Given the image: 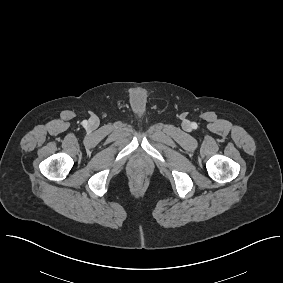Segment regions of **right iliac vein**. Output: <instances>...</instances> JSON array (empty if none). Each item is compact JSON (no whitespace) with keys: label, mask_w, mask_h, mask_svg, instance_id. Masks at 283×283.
I'll return each mask as SVG.
<instances>
[{"label":"right iliac vein","mask_w":283,"mask_h":283,"mask_svg":"<svg viewBox=\"0 0 283 283\" xmlns=\"http://www.w3.org/2000/svg\"><path fill=\"white\" fill-rule=\"evenodd\" d=\"M89 124L92 125V126H96L97 125V120L96 119H91L89 121Z\"/></svg>","instance_id":"obj_1"}]
</instances>
